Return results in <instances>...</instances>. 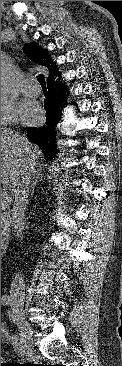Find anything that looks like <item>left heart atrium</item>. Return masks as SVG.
<instances>
[{
  "mask_svg": "<svg viewBox=\"0 0 122 366\" xmlns=\"http://www.w3.org/2000/svg\"><path fill=\"white\" fill-rule=\"evenodd\" d=\"M16 118L24 124L35 123L40 118V109L35 103L22 100L17 106Z\"/></svg>",
  "mask_w": 122,
  "mask_h": 366,
  "instance_id": "obj_1",
  "label": "left heart atrium"
}]
</instances>
